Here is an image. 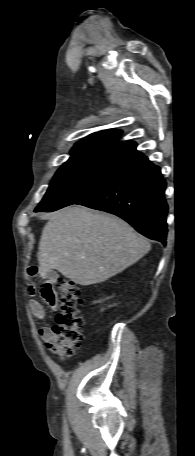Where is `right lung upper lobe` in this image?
<instances>
[{
	"label": "right lung upper lobe",
	"mask_w": 195,
	"mask_h": 456,
	"mask_svg": "<svg viewBox=\"0 0 195 456\" xmlns=\"http://www.w3.org/2000/svg\"><path fill=\"white\" fill-rule=\"evenodd\" d=\"M121 134L120 130L109 129L85 137L73 147L66 163L89 162L124 170L145 159L135 142L119 143Z\"/></svg>",
	"instance_id": "right-lung-upper-lobe-1"
}]
</instances>
